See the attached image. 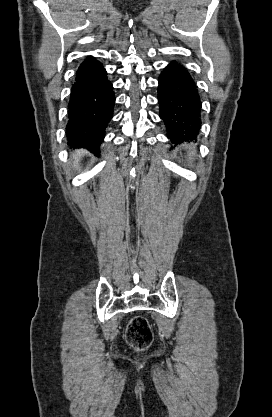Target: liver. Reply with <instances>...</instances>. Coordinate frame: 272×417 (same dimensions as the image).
Returning a JSON list of instances; mask_svg holds the SVG:
<instances>
[{
  "label": "liver",
  "instance_id": "6515ba94",
  "mask_svg": "<svg viewBox=\"0 0 272 417\" xmlns=\"http://www.w3.org/2000/svg\"><path fill=\"white\" fill-rule=\"evenodd\" d=\"M83 153H84L83 150H78L73 154V157L75 158L74 165L78 163V161L82 157Z\"/></svg>",
  "mask_w": 272,
  "mask_h": 417
}]
</instances>
